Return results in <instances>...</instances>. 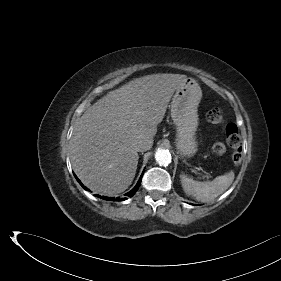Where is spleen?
Wrapping results in <instances>:
<instances>
[{"label": "spleen", "mask_w": 281, "mask_h": 281, "mask_svg": "<svg viewBox=\"0 0 281 281\" xmlns=\"http://www.w3.org/2000/svg\"><path fill=\"white\" fill-rule=\"evenodd\" d=\"M234 172L216 177L213 181L198 182L186 175H181V184L187 195L193 196L197 201L203 203L212 202L224 193L234 181Z\"/></svg>", "instance_id": "spleen-1"}]
</instances>
